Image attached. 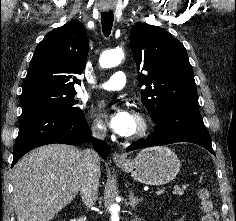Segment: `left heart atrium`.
I'll use <instances>...</instances> for the list:
<instances>
[{"instance_id":"left-heart-atrium-1","label":"left heart atrium","mask_w":236,"mask_h":221,"mask_svg":"<svg viewBox=\"0 0 236 221\" xmlns=\"http://www.w3.org/2000/svg\"><path fill=\"white\" fill-rule=\"evenodd\" d=\"M109 125L120 136L129 135L134 116L125 108H119L108 115Z\"/></svg>"}]
</instances>
